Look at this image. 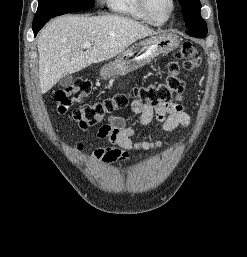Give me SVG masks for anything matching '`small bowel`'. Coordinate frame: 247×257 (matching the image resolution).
I'll list each match as a JSON object with an SVG mask.
<instances>
[{
	"mask_svg": "<svg viewBox=\"0 0 247 257\" xmlns=\"http://www.w3.org/2000/svg\"><path fill=\"white\" fill-rule=\"evenodd\" d=\"M182 96L179 95L174 101H167L157 106H147L135 100L132 102V111L138 115L142 126L149 125L154 119L161 123L164 131L170 132L179 126L189 124V116L180 104ZM134 129L125 125L123 118L110 116L108 123L102 125L97 131V137L108 139L111 146H92L89 152L94 160L109 165L123 163L128 159L130 151H149L162 146V142H134L132 136ZM83 145L77 144L76 150L81 151Z\"/></svg>",
	"mask_w": 247,
	"mask_h": 257,
	"instance_id": "small-bowel-1",
	"label": "small bowel"
}]
</instances>
